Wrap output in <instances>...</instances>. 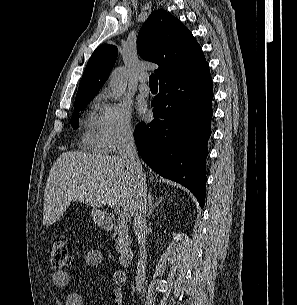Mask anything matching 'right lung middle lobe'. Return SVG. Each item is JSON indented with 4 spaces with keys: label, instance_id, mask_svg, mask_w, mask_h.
I'll list each match as a JSON object with an SVG mask.
<instances>
[{
    "label": "right lung middle lobe",
    "instance_id": "obj_1",
    "mask_svg": "<svg viewBox=\"0 0 297 305\" xmlns=\"http://www.w3.org/2000/svg\"><path fill=\"white\" fill-rule=\"evenodd\" d=\"M94 96L91 97H86L83 99H80L78 101H75V105H74V115L71 118V125L74 129L78 128V122H79V116L76 114L79 110L83 109L84 107L87 106V104L90 102V100L93 98Z\"/></svg>",
    "mask_w": 297,
    "mask_h": 305
}]
</instances>
